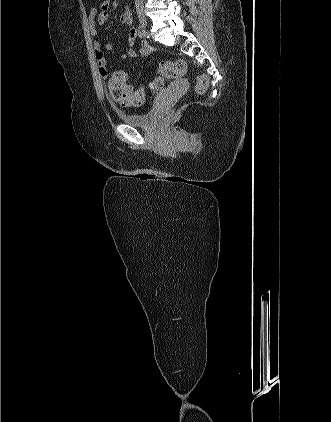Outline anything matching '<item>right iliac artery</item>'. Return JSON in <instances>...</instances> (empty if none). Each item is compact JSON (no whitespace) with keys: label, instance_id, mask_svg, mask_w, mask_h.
Instances as JSON below:
<instances>
[{"label":"right iliac artery","instance_id":"right-iliac-artery-1","mask_svg":"<svg viewBox=\"0 0 331 422\" xmlns=\"http://www.w3.org/2000/svg\"><path fill=\"white\" fill-rule=\"evenodd\" d=\"M138 34H139V37H141V38H143V37H145V31L140 27L139 28V30H138Z\"/></svg>","mask_w":331,"mask_h":422}]
</instances>
